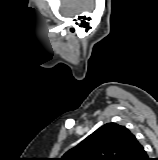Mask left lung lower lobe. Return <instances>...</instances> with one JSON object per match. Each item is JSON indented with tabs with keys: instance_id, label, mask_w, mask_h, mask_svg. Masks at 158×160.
<instances>
[{
	"instance_id": "0a47b994",
	"label": "left lung lower lobe",
	"mask_w": 158,
	"mask_h": 160,
	"mask_svg": "<svg viewBox=\"0 0 158 160\" xmlns=\"http://www.w3.org/2000/svg\"><path fill=\"white\" fill-rule=\"evenodd\" d=\"M127 160H149L146 151L137 139Z\"/></svg>"
}]
</instances>
